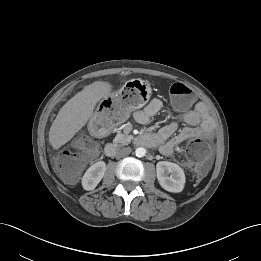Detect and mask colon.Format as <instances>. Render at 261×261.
Here are the masks:
<instances>
[{
	"label": "colon",
	"instance_id": "1",
	"mask_svg": "<svg viewBox=\"0 0 261 261\" xmlns=\"http://www.w3.org/2000/svg\"><path fill=\"white\" fill-rule=\"evenodd\" d=\"M174 104L181 108L189 106L192 100V91L182 83H174L170 88ZM111 101H114L113 99ZM124 118L123 112H116L112 116L103 115L95 121V127L99 134H106L110 127ZM98 138L90 134H80L74 141L71 151L63 152L55 159V168L67 183H73L79 177L87 159L95 156L98 150ZM187 153L192 160L204 159L208 156V145L200 140H191L187 147Z\"/></svg>",
	"mask_w": 261,
	"mask_h": 261
}]
</instances>
